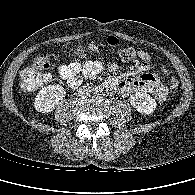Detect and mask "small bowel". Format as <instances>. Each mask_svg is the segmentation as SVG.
<instances>
[{"mask_svg":"<svg viewBox=\"0 0 195 195\" xmlns=\"http://www.w3.org/2000/svg\"><path fill=\"white\" fill-rule=\"evenodd\" d=\"M139 59L141 63L124 76H111L105 80V87L110 93L122 96L137 91H145L154 96L158 101L167 98V85L152 72V56L144 50H140ZM104 66L100 60L89 59L83 63L74 60L68 64L60 65L57 68L58 75L67 83L70 88L79 87L86 80H93L103 70ZM110 73H115L119 65L115 62L108 64ZM160 73L169 76V71L162 67Z\"/></svg>","mask_w":195,"mask_h":195,"instance_id":"obj_1","label":"small bowel"}]
</instances>
